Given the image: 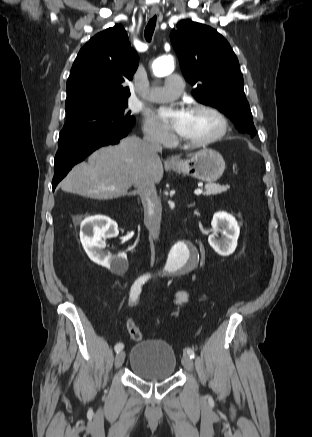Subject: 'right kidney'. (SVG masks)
Returning a JSON list of instances; mask_svg holds the SVG:
<instances>
[{
    "instance_id": "1",
    "label": "right kidney",
    "mask_w": 312,
    "mask_h": 437,
    "mask_svg": "<svg viewBox=\"0 0 312 437\" xmlns=\"http://www.w3.org/2000/svg\"><path fill=\"white\" fill-rule=\"evenodd\" d=\"M118 225L106 216H92L86 218L80 225V240L88 257L96 264L111 271L127 270L128 261L126 254L120 256L105 255L106 235L116 236Z\"/></svg>"
}]
</instances>
